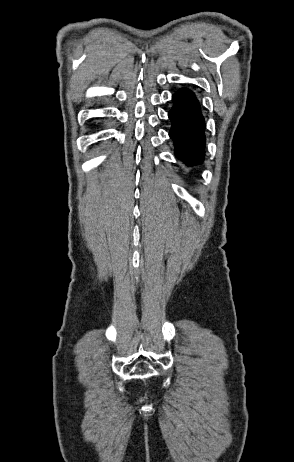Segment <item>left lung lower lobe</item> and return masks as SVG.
I'll return each mask as SVG.
<instances>
[{"label":"left lung lower lobe","instance_id":"0a47b994","mask_svg":"<svg viewBox=\"0 0 294 462\" xmlns=\"http://www.w3.org/2000/svg\"><path fill=\"white\" fill-rule=\"evenodd\" d=\"M174 106L169 112L172 121L170 137L175 143L177 157L187 165H196L204 159L205 123L199 103L193 92L179 90L173 96Z\"/></svg>","mask_w":294,"mask_h":462}]
</instances>
